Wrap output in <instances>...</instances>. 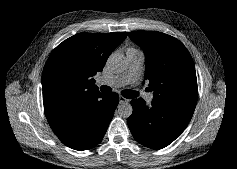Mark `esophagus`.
Returning a JSON list of instances; mask_svg holds the SVG:
<instances>
[{
  "mask_svg": "<svg viewBox=\"0 0 237 169\" xmlns=\"http://www.w3.org/2000/svg\"><path fill=\"white\" fill-rule=\"evenodd\" d=\"M119 100H120L121 103H127L128 102V99L123 97V96H120Z\"/></svg>",
  "mask_w": 237,
  "mask_h": 169,
  "instance_id": "34e87169",
  "label": "esophagus"
}]
</instances>
